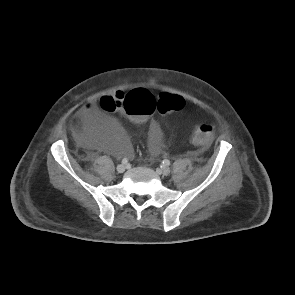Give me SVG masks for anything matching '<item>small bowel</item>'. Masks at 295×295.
<instances>
[{"instance_id": "1", "label": "small bowel", "mask_w": 295, "mask_h": 295, "mask_svg": "<svg viewBox=\"0 0 295 295\" xmlns=\"http://www.w3.org/2000/svg\"><path fill=\"white\" fill-rule=\"evenodd\" d=\"M77 121L89 138H96L102 130H112L116 138L119 139V144L114 150L127 157L133 156L132 147L122 138L116 123L112 119L106 118L97 106L85 104L77 114ZM148 142L151 153L153 155L159 154L162 148L161 131L154 121L150 122ZM99 146H102V144H99Z\"/></svg>"}]
</instances>
